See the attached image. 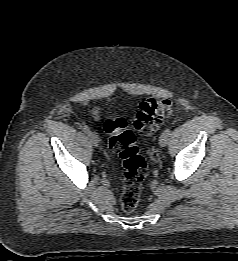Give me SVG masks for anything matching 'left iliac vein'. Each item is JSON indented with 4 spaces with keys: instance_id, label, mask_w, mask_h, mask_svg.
<instances>
[{
    "instance_id": "1",
    "label": "left iliac vein",
    "mask_w": 238,
    "mask_h": 261,
    "mask_svg": "<svg viewBox=\"0 0 238 261\" xmlns=\"http://www.w3.org/2000/svg\"><path fill=\"white\" fill-rule=\"evenodd\" d=\"M169 135L166 132H163L159 137V144L162 147H165L168 144Z\"/></svg>"
}]
</instances>
